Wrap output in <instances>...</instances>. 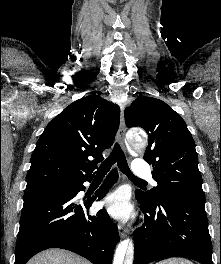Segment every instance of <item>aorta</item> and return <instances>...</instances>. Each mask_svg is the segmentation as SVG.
Returning a JSON list of instances; mask_svg holds the SVG:
<instances>
[{"instance_id": "762f6f07", "label": "aorta", "mask_w": 221, "mask_h": 264, "mask_svg": "<svg viewBox=\"0 0 221 264\" xmlns=\"http://www.w3.org/2000/svg\"><path fill=\"white\" fill-rule=\"evenodd\" d=\"M130 144L136 150H144L147 144L144 135L131 134L129 137ZM134 259V245L133 241L126 239L119 243L113 264H133Z\"/></svg>"}]
</instances>
